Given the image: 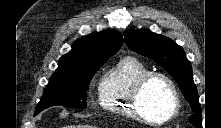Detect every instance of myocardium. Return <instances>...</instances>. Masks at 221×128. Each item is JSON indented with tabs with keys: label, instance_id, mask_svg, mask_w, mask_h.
Here are the masks:
<instances>
[{
	"label": "myocardium",
	"instance_id": "1",
	"mask_svg": "<svg viewBox=\"0 0 221 128\" xmlns=\"http://www.w3.org/2000/svg\"><path fill=\"white\" fill-rule=\"evenodd\" d=\"M155 78L162 79L168 86L170 94H171V100H172V109L170 113L163 118L162 120H155L151 117H149L141 108L140 106V95L144 87L147 85L149 81ZM130 105L131 109L136 117L139 119L155 125H164L169 122H171L178 114L179 108H180V100H179V94L176 88L175 83L173 80L166 74L162 72L157 71H150L146 74H144L141 78H139L130 94Z\"/></svg>",
	"mask_w": 221,
	"mask_h": 128
}]
</instances>
